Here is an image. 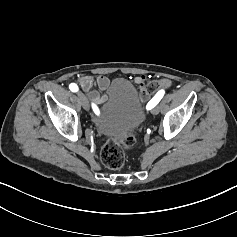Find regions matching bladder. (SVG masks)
Returning <instances> with one entry per match:
<instances>
[{
  "label": "bladder",
  "mask_w": 237,
  "mask_h": 237,
  "mask_svg": "<svg viewBox=\"0 0 237 237\" xmlns=\"http://www.w3.org/2000/svg\"><path fill=\"white\" fill-rule=\"evenodd\" d=\"M112 101L93 117L98 132L120 140L136 129L144 118V108L136 88L127 80H117L111 88Z\"/></svg>",
  "instance_id": "bladder-1"
}]
</instances>
